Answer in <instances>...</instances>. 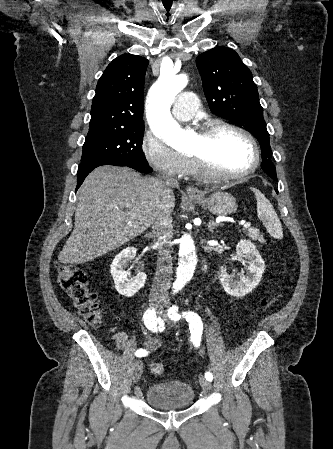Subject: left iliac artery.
Masks as SVG:
<instances>
[{"label":"left iliac artery","mask_w":333,"mask_h":449,"mask_svg":"<svg viewBox=\"0 0 333 449\" xmlns=\"http://www.w3.org/2000/svg\"><path fill=\"white\" fill-rule=\"evenodd\" d=\"M168 316L174 321H178L181 318H185L189 323V329L191 333V341L194 346L198 348L200 346L202 332H203V323L200 316L195 312H183L182 315L178 313L177 306H172L168 311ZM205 378L208 381H212L213 375L211 372H205Z\"/></svg>","instance_id":"44dca946"}]
</instances>
